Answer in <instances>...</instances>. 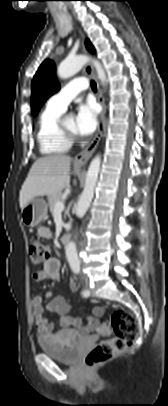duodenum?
Segmentation results:
<instances>
[{
	"label": "duodenum",
	"instance_id": "1",
	"mask_svg": "<svg viewBox=\"0 0 168 406\" xmlns=\"http://www.w3.org/2000/svg\"><path fill=\"white\" fill-rule=\"evenodd\" d=\"M70 241V234L68 232H65L62 236H61V243L63 245H67Z\"/></svg>",
	"mask_w": 168,
	"mask_h": 406
}]
</instances>
